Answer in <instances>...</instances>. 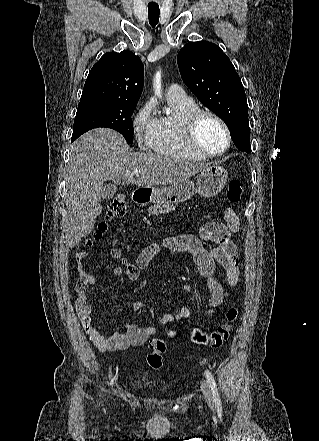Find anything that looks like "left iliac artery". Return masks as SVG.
I'll return each mask as SVG.
<instances>
[{
  "instance_id": "left-iliac-artery-1",
  "label": "left iliac artery",
  "mask_w": 319,
  "mask_h": 441,
  "mask_svg": "<svg viewBox=\"0 0 319 441\" xmlns=\"http://www.w3.org/2000/svg\"><path fill=\"white\" fill-rule=\"evenodd\" d=\"M205 376L207 378V382L209 383L210 387H211V391L213 394V400L215 402V406L218 410H221V400L218 394V389L214 380L213 375L211 374L210 371L205 370Z\"/></svg>"
}]
</instances>
